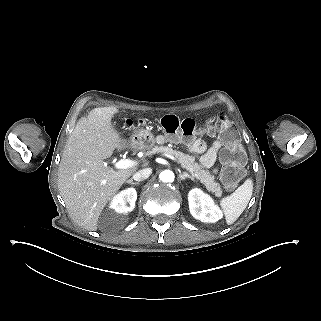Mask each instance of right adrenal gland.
<instances>
[{
  "label": "right adrenal gland",
  "mask_w": 321,
  "mask_h": 321,
  "mask_svg": "<svg viewBox=\"0 0 321 321\" xmlns=\"http://www.w3.org/2000/svg\"><path fill=\"white\" fill-rule=\"evenodd\" d=\"M126 183L132 184V185H139V182H133V179L126 180Z\"/></svg>",
  "instance_id": "2a0ac1e0"
}]
</instances>
